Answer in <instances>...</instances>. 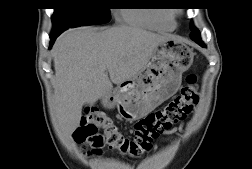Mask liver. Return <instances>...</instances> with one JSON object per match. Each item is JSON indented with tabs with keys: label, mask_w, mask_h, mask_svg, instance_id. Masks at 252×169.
Returning a JSON list of instances; mask_svg holds the SVG:
<instances>
[{
	"label": "liver",
	"mask_w": 252,
	"mask_h": 169,
	"mask_svg": "<svg viewBox=\"0 0 252 169\" xmlns=\"http://www.w3.org/2000/svg\"><path fill=\"white\" fill-rule=\"evenodd\" d=\"M174 38L141 28L118 26L69 29L53 49L57 126L70 137L80 125L82 107L112 92L113 84L134 78L163 41Z\"/></svg>",
	"instance_id": "6515ba94"
}]
</instances>
